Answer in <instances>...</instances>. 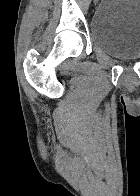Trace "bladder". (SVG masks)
Here are the masks:
<instances>
[{"label":"bladder","instance_id":"31cf9c89","mask_svg":"<svg viewBox=\"0 0 140 196\" xmlns=\"http://www.w3.org/2000/svg\"><path fill=\"white\" fill-rule=\"evenodd\" d=\"M95 47L124 60L140 58V0H102L90 22Z\"/></svg>","mask_w":140,"mask_h":196}]
</instances>
